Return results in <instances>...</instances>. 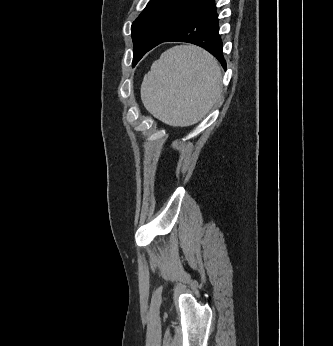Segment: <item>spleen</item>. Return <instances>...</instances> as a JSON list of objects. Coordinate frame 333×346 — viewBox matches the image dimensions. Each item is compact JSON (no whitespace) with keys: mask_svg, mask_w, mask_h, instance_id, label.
<instances>
[{"mask_svg":"<svg viewBox=\"0 0 333 346\" xmlns=\"http://www.w3.org/2000/svg\"><path fill=\"white\" fill-rule=\"evenodd\" d=\"M217 60L205 50L181 45L168 49L144 76L141 99L154 116L173 126L202 120L222 91Z\"/></svg>","mask_w":333,"mask_h":346,"instance_id":"spleen-1","label":"spleen"}]
</instances>
